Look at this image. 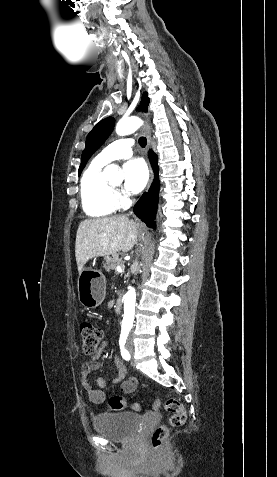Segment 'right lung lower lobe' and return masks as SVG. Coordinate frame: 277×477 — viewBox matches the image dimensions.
Segmentation results:
<instances>
[{
    "mask_svg": "<svg viewBox=\"0 0 277 477\" xmlns=\"http://www.w3.org/2000/svg\"><path fill=\"white\" fill-rule=\"evenodd\" d=\"M149 158L154 169L155 178L148 193L143 194L135 204L134 212L147 226L151 227L152 219H154L157 209L160 184L158 179L157 156L151 151Z\"/></svg>",
    "mask_w": 277,
    "mask_h": 477,
    "instance_id": "obj_1",
    "label": "right lung lower lobe"
}]
</instances>
